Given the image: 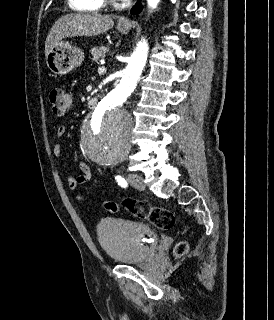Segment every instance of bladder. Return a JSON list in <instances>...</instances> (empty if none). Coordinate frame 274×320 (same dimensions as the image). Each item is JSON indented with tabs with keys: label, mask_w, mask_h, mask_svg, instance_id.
<instances>
[{
	"label": "bladder",
	"mask_w": 274,
	"mask_h": 320,
	"mask_svg": "<svg viewBox=\"0 0 274 320\" xmlns=\"http://www.w3.org/2000/svg\"><path fill=\"white\" fill-rule=\"evenodd\" d=\"M96 234L105 254L117 264L143 263L155 253L156 233L143 223L107 218L98 224Z\"/></svg>",
	"instance_id": "31cf9c89"
}]
</instances>
